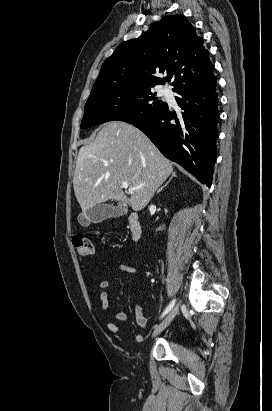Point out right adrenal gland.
<instances>
[{
    "instance_id": "obj_1",
    "label": "right adrenal gland",
    "mask_w": 272,
    "mask_h": 411,
    "mask_svg": "<svg viewBox=\"0 0 272 411\" xmlns=\"http://www.w3.org/2000/svg\"><path fill=\"white\" fill-rule=\"evenodd\" d=\"M173 177H176V173H175V172H173L172 175H171V177L169 178V180H168L161 188H159V190L157 191V193H159L164 187H166V186L169 184V182L172 180Z\"/></svg>"
}]
</instances>
